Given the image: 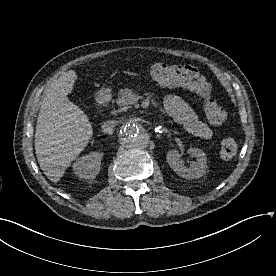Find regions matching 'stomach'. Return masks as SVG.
<instances>
[{"label": "stomach", "mask_w": 276, "mask_h": 276, "mask_svg": "<svg viewBox=\"0 0 276 276\" xmlns=\"http://www.w3.org/2000/svg\"><path fill=\"white\" fill-rule=\"evenodd\" d=\"M109 91V89H102L101 90V92L103 93V92H108Z\"/></svg>", "instance_id": "0dacf381"}]
</instances>
